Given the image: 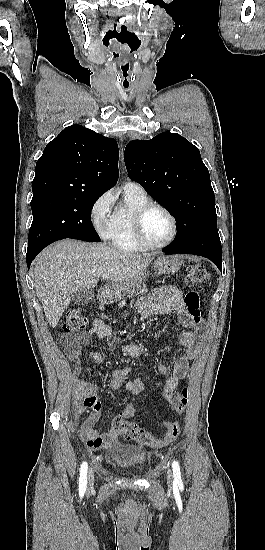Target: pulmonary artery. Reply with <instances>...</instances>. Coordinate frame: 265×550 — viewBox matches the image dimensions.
<instances>
[{
  "label": "pulmonary artery",
  "instance_id": "obj_1",
  "mask_svg": "<svg viewBox=\"0 0 265 550\" xmlns=\"http://www.w3.org/2000/svg\"><path fill=\"white\" fill-rule=\"evenodd\" d=\"M125 189H131V190H135V191H138V192H142V193H145L143 187L135 182H132V181H128L126 182L125 184Z\"/></svg>",
  "mask_w": 265,
  "mask_h": 550
}]
</instances>
